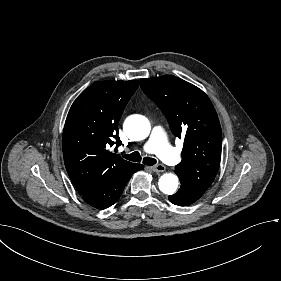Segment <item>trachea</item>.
I'll return each instance as SVG.
<instances>
[{
	"label": "trachea",
	"mask_w": 281,
	"mask_h": 281,
	"mask_svg": "<svg viewBox=\"0 0 281 281\" xmlns=\"http://www.w3.org/2000/svg\"><path fill=\"white\" fill-rule=\"evenodd\" d=\"M126 159L129 161H133V162L142 161L143 164L148 165V166H152L156 163V160L154 158L142 157L139 152H133L129 155H126Z\"/></svg>",
	"instance_id": "obj_1"
}]
</instances>
